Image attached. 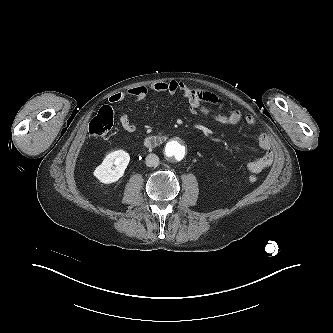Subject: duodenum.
Wrapping results in <instances>:
<instances>
[{
    "label": "duodenum",
    "instance_id": "410a0bca",
    "mask_svg": "<svg viewBox=\"0 0 333 333\" xmlns=\"http://www.w3.org/2000/svg\"><path fill=\"white\" fill-rule=\"evenodd\" d=\"M164 141V136L162 135H151L145 139V145L148 148H154Z\"/></svg>",
    "mask_w": 333,
    "mask_h": 333
}]
</instances>
